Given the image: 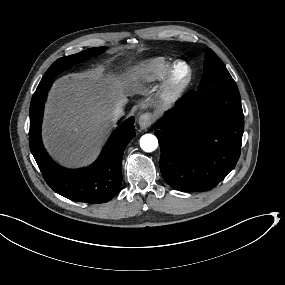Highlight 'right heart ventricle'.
<instances>
[{"label":"right heart ventricle","mask_w":285,"mask_h":285,"mask_svg":"<svg viewBox=\"0 0 285 285\" xmlns=\"http://www.w3.org/2000/svg\"><path fill=\"white\" fill-rule=\"evenodd\" d=\"M171 65L163 57L143 60L139 64L136 81L139 84H153L163 81L170 72Z\"/></svg>","instance_id":"1"}]
</instances>
